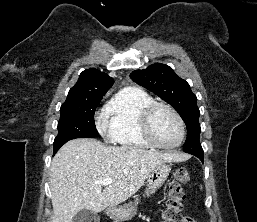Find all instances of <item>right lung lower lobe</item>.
<instances>
[{"mask_svg":"<svg viewBox=\"0 0 257 222\" xmlns=\"http://www.w3.org/2000/svg\"><path fill=\"white\" fill-rule=\"evenodd\" d=\"M59 149H54V154L58 151Z\"/></svg>","mask_w":257,"mask_h":222,"instance_id":"98d812e1","label":"right lung lower lobe"}]
</instances>
